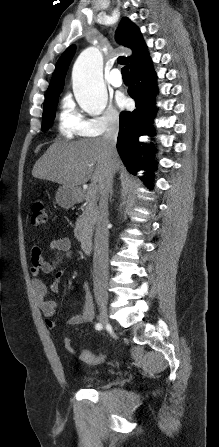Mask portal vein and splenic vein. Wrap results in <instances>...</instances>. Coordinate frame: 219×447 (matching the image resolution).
I'll return each mask as SVG.
<instances>
[{
	"label": "portal vein and splenic vein",
	"mask_w": 219,
	"mask_h": 447,
	"mask_svg": "<svg viewBox=\"0 0 219 447\" xmlns=\"http://www.w3.org/2000/svg\"><path fill=\"white\" fill-rule=\"evenodd\" d=\"M87 193L89 194V195H91V196H94V195H96V193H97V186H96V184H91L90 185V187H89V189H88V191H87Z\"/></svg>",
	"instance_id": "portal-vein-and-splenic-vein-1"
}]
</instances>
